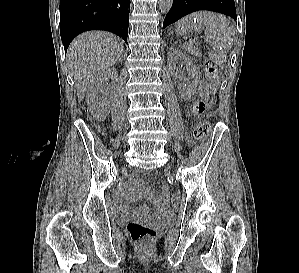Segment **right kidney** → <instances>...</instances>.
Instances as JSON below:
<instances>
[{
	"label": "right kidney",
	"mask_w": 299,
	"mask_h": 273,
	"mask_svg": "<svg viewBox=\"0 0 299 273\" xmlns=\"http://www.w3.org/2000/svg\"><path fill=\"white\" fill-rule=\"evenodd\" d=\"M116 69L104 68L98 71L88 82L87 103L91 114L99 120H104L109 112L114 93V82L106 83L108 79H116Z\"/></svg>",
	"instance_id": "ca27d5eb"
}]
</instances>
